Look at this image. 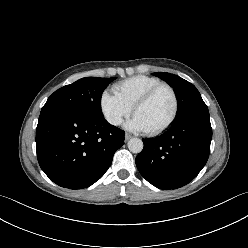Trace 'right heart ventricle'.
I'll return each mask as SVG.
<instances>
[{
	"instance_id": "obj_1",
	"label": "right heart ventricle",
	"mask_w": 248,
	"mask_h": 248,
	"mask_svg": "<svg viewBox=\"0 0 248 248\" xmlns=\"http://www.w3.org/2000/svg\"><path fill=\"white\" fill-rule=\"evenodd\" d=\"M160 83L157 78L137 75L116 83L113 92L132 108L143 94Z\"/></svg>"
}]
</instances>
